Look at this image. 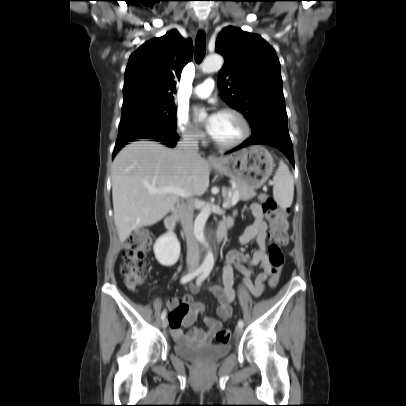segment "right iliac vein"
Wrapping results in <instances>:
<instances>
[{"instance_id": "obj_1", "label": "right iliac vein", "mask_w": 406, "mask_h": 406, "mask_svg": "<svg viewBox=\"0 0 406 406\" xmlns=\"http://www.w3.org/2000/svg\"><path fill=\"white\" fill-rule=\"evenodd\" d=\"M167 325H168V320H167V319H164V320L162 321V327H163V328H166Z\"/></svg>"}]
</instances>
